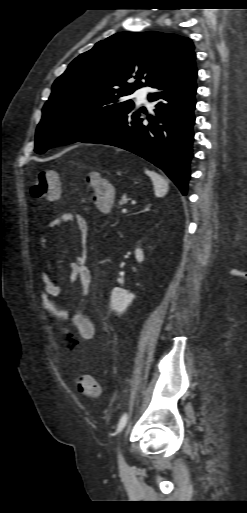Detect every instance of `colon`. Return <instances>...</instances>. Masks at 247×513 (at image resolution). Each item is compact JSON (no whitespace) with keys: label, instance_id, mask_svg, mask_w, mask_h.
<instances>
[{"label":"colon","instance_id":"colon-1","mask_svg":"<svg viewBox=\"0 0 247 513\" xmlns=\"http://www.w3.org/2000/svg\"><path fill=\"white\" fill-rule=\"evenodd\" d=\"M88 191L94 196V202L100 210L111 208L115 193L110 183L94 174L89 179ZM31 194L37 199L58 200L61 195V180L56 171H41L31 186ZM77 389L86 396L95 397L100 393L98 382L89 375H78L75 378Z\"/></svg>","mask_w":247,"mask_h":513}]
</instances>
